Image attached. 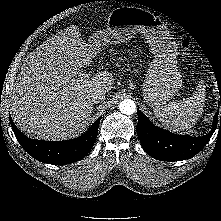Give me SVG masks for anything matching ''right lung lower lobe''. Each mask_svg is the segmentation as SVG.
Returning a JSON list of instances; mask_svg holds the SVG:
<instances>
[{
  "instance_id": "obj_1",
  "label": "right lung lower lobe",
  "mask_w": 221,
  "mask_h": 221,
  "mask_svg": "<svg viewBox=\"0 0 221 221\" xmlns=\"http://www.w3.org/2000/svg\"><path fill=\"white\" fill-rule=\"evenodd\" d=\"M10 124L13 132L23 149L40 162L64 165L76 162L91 150L97 138L99 118L89 130L80 137L66 141H42L26 137L13 123Z\"/></svg>"
}]
</instances>
